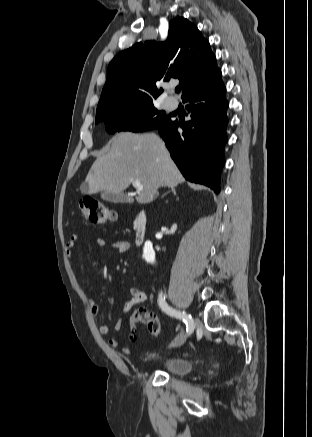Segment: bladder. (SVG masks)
I'll return each instance as SVG.
<instances>
[{
	"mask_svg": "<svg viewBox=\"0 0 312 437\" xmlns=\"http://www.w3.org/2000/svg\"><path fill=\"white\" fill-rule=\"evenodd\" d=\"M144 362L147 365L157 363L163 370L173 376H184L189 374L193 368L192 360L182 356H170L165 358H158L153 353H148L144 357Z\"/></svg>",
	"mask_w": 312,
	"mask_h": 437,
	"instance_id": "bladder-1",
	"label": "bladder"
}]
</instances>
